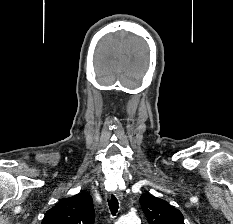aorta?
Instances as JSON below:
<instances>
[{
    "label": "aorta",
    "instance_id": "762f6f07",
    "mask_svg": "<svg viewBox=\"0 0 233 224\" xmlns=\"http://www.w3.org/2000/svg\"><path fill=\"white\" fill-rule=\"evenodd\" d=\"M115 224H140V219L135 214H127L120 217Z\"/></svg>",
    "mask_w": 233,
    "mask_h": 224
}]
</instances>
